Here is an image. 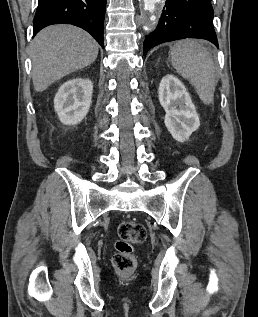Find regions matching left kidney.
<instances>
[{"label":"left kidney","instance_id":"1","mask_svg":"<svg viewBox=\"0 0 258 317\" xmlns=\"http://www.w3.org/2000/svg\"><path fill=\"white\" fill-rule=\"evenodd\" d=\"M158 96L166 110L164 122L173 138L178 142L188 140L200 126V120L183 82L174 74H166L159 84Z\"/></svg>","mask_w":258,"mask_h":317}]
</instances>
